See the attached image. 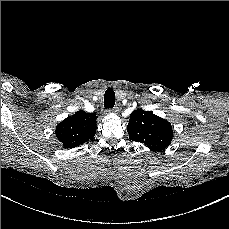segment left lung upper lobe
Here are the masks:
<instances>
[{
  "instance_id": "1",
  "label": "left lung upper lobe",
  "mask_w": 229,
  "mask_h": 229,
  "mask_svg": "<svg viewBox=\"0 0 229 229\" xmlns=\"http://www.w3.org/2000/svg\"><path fill=\"white\" fill-rule=\"evenodd\" d=\"M127 132L130 140L140 142L152 151L164 150L173 138L172 126L167 120L143 109L131 113Z\"/></svg>"
}]
</instances>
